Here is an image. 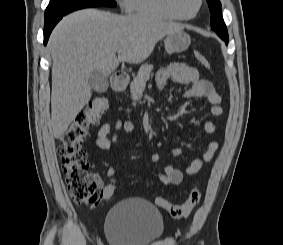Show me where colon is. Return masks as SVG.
Listing matches in <instances>:
<instances>
[{
  "label": "colon",
  "mask_w": 283,
  "mask_h": 245,
  "mask_svg": "<svg viewBox=\"0 0 283 245\" xmlns=\"http://www.w3.org/2000/svg\"><path fill=\"white\" fill-rule=\"evenodd\" d=\"M195 58L207 69H210L208 59L200 52H195ZM109 105L106 97L92 99L84 109L74 118L70 126L61 137V144L58 147V154L61 159L62 169L66 176L67 189L72 200L79 205L93 206L101 200H109L116 185L110 182L104 185L98 193V184L94 177L88 172L89 162L87 154L82 147L83 140L88 131L96 126L101 115ZM202 193L198 188L189 192L187 199L180 204H173L170 201L156 197L155 203L158 207L167 211L172 218H187L200 203Z\"/></svg>",
  "instance_id": "5ec220e1"
}]
</instances>
